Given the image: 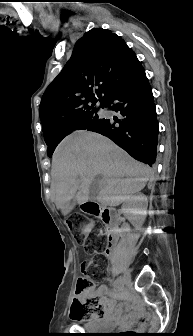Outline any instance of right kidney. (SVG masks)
<instances>
[{
	"instance_id": "1",
	"label": "right kidney",
	"mask_w": 193,
	"mask_h": 336,
	"mask_svg": "<svg viewBox=\"0 0 193 336\" xmlns=\"http://www.w3.org/2000/svg\"><path fill=\"white\" fill-rule=\"evenodd\" d=\"M148 200L144 194H136L125 199L122 211L126 213L134 226L138 227L145 221L147 215Z\"/></svg>"
}]
</instances>
